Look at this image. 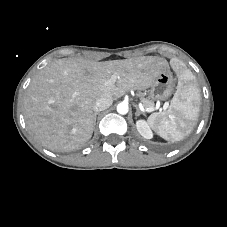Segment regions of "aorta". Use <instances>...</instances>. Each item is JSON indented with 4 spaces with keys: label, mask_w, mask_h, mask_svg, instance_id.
<instances>
[{
    "label": "aorta",
    "mask_w": 227,
    "mask_h": 227,
    "mask_svg": "<svg viewBox=\"0 0 227 227\" xmlns=\"http://www.w3.org/2000/svg\"><path fill=\"white\" fill-rule=\"evenodd\" d=\"M128 105L124 102H121L117 105V112L121 115H125L128 113Z\"/></svg>",
    "instance_id": "1"
}]
</instances>
